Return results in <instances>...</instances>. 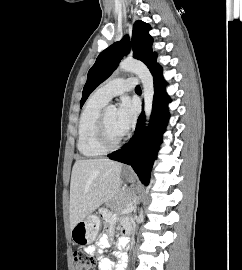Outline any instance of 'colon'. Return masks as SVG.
Instances as JSON below:
<instances>
[{"label": "colon", "instance_id": "1", "mask_svg": "<svg viewBox=\"0 0 242 270\" xmlns=\"http://www.w3.org/2000/svg\"><path fill=\"white\" fill-rule=\"evenodd\" d=\"M75 270H94L95 260L92 255L76 251L74 253Z\"/></svg>", "mask_w": 242, "mask_h": 270}]
</instances>
